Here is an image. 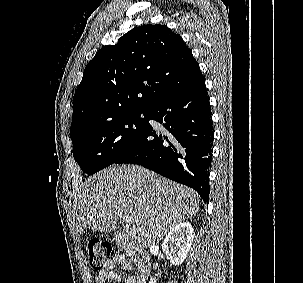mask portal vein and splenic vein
Segmentation results:
<instances>
[{"instance_id": "portal-vein-and-splenic-vein-1", "label": "portal vein and splenic vein", "mask_w": 303, "mask_h": 283, "mask_svg": "<svg viewBox=\"0 0 303 283\" xmlns=\"http://www.w3.org/2000/svg\"><path fill=\"white\" fill-rule=\"evenodd\" d=\"M122 219L126 224H130L132 222V218L130 216H123Z\"/></svg>"}]
</instances>
